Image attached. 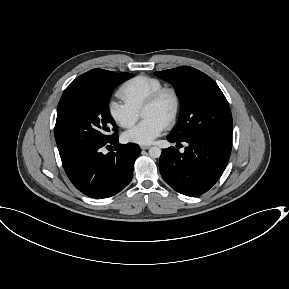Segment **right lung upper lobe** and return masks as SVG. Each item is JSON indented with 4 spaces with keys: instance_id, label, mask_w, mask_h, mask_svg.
<instances>
[{
    "instance_id": "right-lung-upper-lobe-1",
    "label": "right lung upper lobe",
    "mask_w": 289,
    "mask_h": 289,
    "mask_svg": "<svg viewBox=\"0 0 289 289\" xmlns=\"http://www.w3.org/2000/svg\"><path fill=\"white\" fill-rule=\"evenodd\" d=\"M113 72L103 70V69H92L79 77H77L68 87L78 88V87H89L97 85L101 80L110 77Z\"/></svg>"
}]
</instances>
